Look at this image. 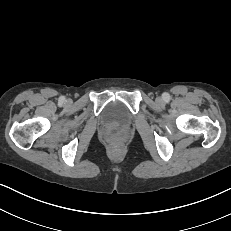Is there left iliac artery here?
<instances>
[{
	"label": "left iliac artery",
	"mask_w": 231,
	"mask_h": 231,
	"mask_svg": "<svg viewBox=\"0 0 231 231\" xmlns=\"http://www.w3.org/2000/svg\"><path fill=\"white\" fill-rule=\"evenodd\" d=\"M162 97H163L164 101H166V102L170 101V95L168 93H166V92L163 93Z\"/></svg>",
	"instance_id": "1"
}]
</instances>
